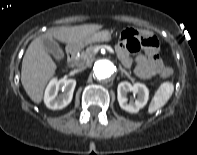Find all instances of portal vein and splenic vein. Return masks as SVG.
Segmentation results:
<instances>
[{
    "label": "portal vein and splenic vein",
    "mask_w": 197,
    "mask_h": 155,
    "mask_svg": "<svg viewBox=\"0 0 197 155\" xmlns=\"http://www.w3.org/2000/svg\"><path fill=\"white\" fill-rule=\"evenodd\" d=\"M107 50L110 52V53H114L113 49L111 47H107Z\"/></svg>",
    "instance_id": "18ae733b"
}]
</instances>
